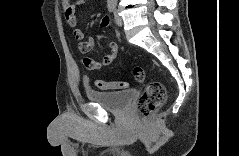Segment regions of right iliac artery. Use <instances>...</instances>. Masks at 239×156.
I'll return each instance as SVG.
<instances>
[{
  "instance_id": "right-iliac-artery-1",
  "label": "right iliac artery",
  "mask_w": 239,
  "mask_h": 156,
  "mask_svg": "<svg viewBox=\"0 0 239 156\" xmlns=\"http://www.w3.org/2000/svg\"><path fill=\"white\" fill-rule=\"evenodd\" d=\"M115 8H116V3L111 2V3L108 4L109 12H114Z\"/></svg>"
}]
</instances>
